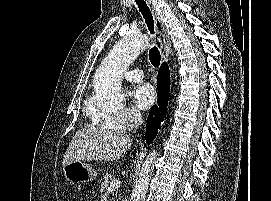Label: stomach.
<instances>
[{"label":"stomach","instance_id":"stomach-1","mask_svg":"<svg viewBox=\"0 0 271 201\" xmlns=\"http://www.w3.org/2000/svg\"><path fill=\"white\" fill-rule=\"evenodd\" d=\"M64 176L72 184L86 183L97 177V171L83 161H73L63 167Z\"/></svg>","mask_w":271,"mask_h":201}]
</instances>
